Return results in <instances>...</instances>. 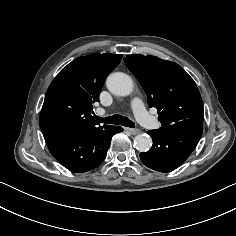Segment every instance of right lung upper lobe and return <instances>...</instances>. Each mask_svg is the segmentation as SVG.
<instances>
[{
  "mask_svg": "<svg viewBox=\"0 0 236 236\" xmlns=\"http://www.w3.org/2000/svg\"><path fill=\"white\" fill-rule=\"evenodd\" d=\"M121 58L118 54H91L64 67L46 92L39 118L42 133L97 127L99 123L91 116L92 104Z\"/></svg>",
  "mask_w": 236,
  "mask_h": 236,
  "instance_id": "1",
  "label": "right lung upper lobe"
}]
</instances>
